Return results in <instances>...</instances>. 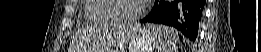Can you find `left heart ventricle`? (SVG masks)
I'll use <instances>...</instances> for the list:
<instances>
[{
  "label": "left heart ventricle",
  "instance_id": "left-heart-ventricle-1",
  "mask_svg": "<svg viewBox=\"0 0 261 52\" xmlns=\"http://www.w3.org/2000/svg\"><path fill=\"white\" fill-rule=\"evenodd\" d=\"M141 5V1L121 0L116 3L115 13L118 16L130 17L137 13Z\"/></svg>",
  "mask_w": 261,
  "mask_h": 52
}]
</instances>
